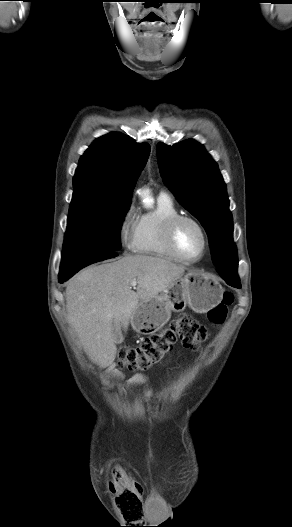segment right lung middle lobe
Returning a JSON list of instances; mask_svg holds the SVG:
<instances>
[{"label": "right lung middle lobe", "instance_id": "right-lung-middle-lobe-1", "mask_svg": "<svg viewBox=\"0 0 292 527\" xmlns=\"http://www.w3.org/2000/svg\"><path fill=\"white\" fill-rule=\"evenodd\" d=\"M129 206L130 200L74 189L62 253L120 250L121 226Z\"/></svg>", "mask_w": 292, "mask_h": 527}]
</instances>
